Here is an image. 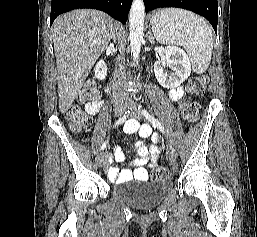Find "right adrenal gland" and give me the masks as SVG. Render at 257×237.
Instances as JSON below:
<instances>
[{
    "label": "right adrenal gland",
    "mask_w": 257,
    "mask_h": 237,
    "mask_svg": "<svg viewBox=\"0 0 257 237\" xmlns=\"http://www.w3.org/2000/svg\"><path fill=\"white\" fill-rule=\"evenodd\" d=\"M112 40H113L114 43L116 42V34H115V32L113 34Z\"/></svg>",
    "instance_id": "obj_1"
}]
</instances>
